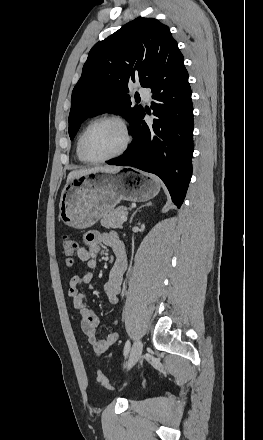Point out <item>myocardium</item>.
Here are the masks:
<instances>
[{"instance_id": "obj_1", "label": "myocardium", "mask_w": 263, "mask_h": 440, "mask_svg": "<svg viewBox=\"0 0 263 440\" xmlns=\"http://www.w3.org/2000/svg\"><path fill=\"white\" fill-rule=\"evenodd\" d=\"M105 121L113 122L119 126V128L121 129V131L123 133V143H122L121 147L116 152H114L108 156H105L102 158H92L88 155V153L86 152V149H85L86 138H87L89 132L91 131V129L95 125H97L100 122H105ZM131 141H132L131 131L129 129L127 122L123 118H121L117 115H103V116H100V117L94 119L93 121H91L86 126V128L83 130L81 137H80V140H79V153H80L81 158L87 163H92V164L104 163V162L110 161L112 159H115V158L123 155L127 151V149L129 148Z\"/></svg>"}]
</instances>
